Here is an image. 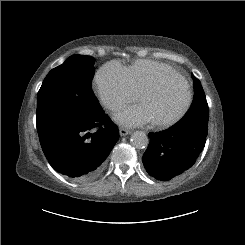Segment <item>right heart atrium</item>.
Wrapping results in <instances>:
<instances>
[{
  "label": "right heart atrium",
  "instance_id": "obj_1",
  "mask_svg": "<svg viewBox=\"0 0 245 245\" xmlns=\"http://www.w3.org/2000/svg\"><path fill=\"white\" fill-rule=\"evenodd\" d=\"M93 86L101 103L112 112L121 110L138 97L126 67L116 61L105 63L98 69Z\"/></svg>",
  "mask_w": 245,
  "mask_h": 245
}]
</instances>
